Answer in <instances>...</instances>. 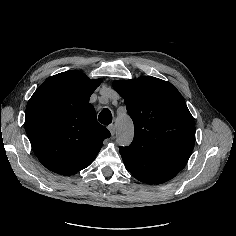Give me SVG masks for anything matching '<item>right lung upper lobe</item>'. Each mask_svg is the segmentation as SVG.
Wrapping results in <instances>:
<instances>
[{"instance_id": "1", "label": "right lung upper lobe", "mask_w": 236, "mask_h": 236, "mask_svg": "<svg viewBox=\"0 0 236 236\" xmlns=\"http://www.w3.org/2000/svg\"><path fill=\"white\" fill-rule=\"evenodd\" d=\"M102 82L80 71L47 79L30 98L25 130L32 149L49 170L65 176L88 167L110 132L97 122L89 98Z\"/></svg>"}]
</instances>
